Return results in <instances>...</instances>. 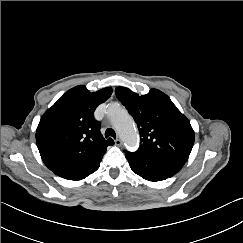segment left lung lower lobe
Returning <instances> with one entry per match:
<instances>
[{"instance_id": "obj_1", "label": "left lung lower lobe", "mask_w": 243, "mask_h": 243, "mask_svg": "<svg viewBox=\"0 0 243 243\" xmlns=\"http://www.w3.org/2000/svg\"><path fill=\"white\" fill-rule=\"evenodd\" d=\"M125 157L134 173L148 181H161L176 174L184 165V163L140 155L125 151Z\"/></svg>"}]
</instances>
